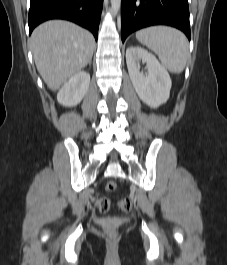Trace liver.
<instances>
[{
	"label": "liver",
	"mask_w": 227,
	"mask_h": 265,
	"mask_svg": "<svg viewBox=\"0 0 227 265\" xmlns=\"http://www.w3.org/2000/svg\"><path fill=\"white\" fill-rule=\"evenodd\" d=\"M30 45L42 79L57 90L91 61L95 40L74 23L52 20L34 29Z\"/></svg>",
	"instance_id": "6515ba94"
}]
</instances>
